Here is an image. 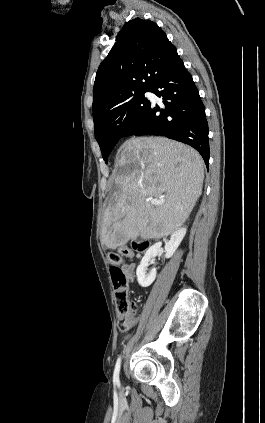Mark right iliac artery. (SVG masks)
<instances>
[{
    "label": "right iliac artery",
    "mask_w": 265,
    "mask_h": 423,
    "mask_svg": "<svg viewBox=\"0 0 265 423\" xmlns=\"http://www.w3.org/2000/svg\"><path fill=\"white\" fill-rule=\"evenodd\" d=\"M120 364H121V357L117 359L114 375H113V382L117 385H119V372H120Z\"/></svg>",
    "instance_id": "1"
}]
</instances>
